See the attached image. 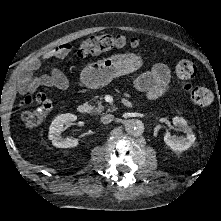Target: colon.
<instances>
[{
  "instance_id": "1",
  "label": "colon",
  "mask_w": 221,
  "mask_h": 221,
  "mask_svg": "<svg viewBox=\"0 0 221 221\" xmlns=\"http://www.w3.org/2000/svg\"><path fill=\"white\" fill-rule=\"evenodd\" d=\"M139 41L136 38H127L122 35L100 34L92 36L82 41L78 48V55L82 58L88 56L100 55L112 50L124 48H136ZM177 77L182 83V87L198 105H208L212 101V93L204 88L195 86L192 83L198 73L197 66L191 60H181L175 67ZM34 103L38 106L34 110H29ZM24 110L22 121L27 127H36L40 125L53 111V102L45 93H38L34 97L27 96L21 101Z\"/></svg>"
}]
</instances>
